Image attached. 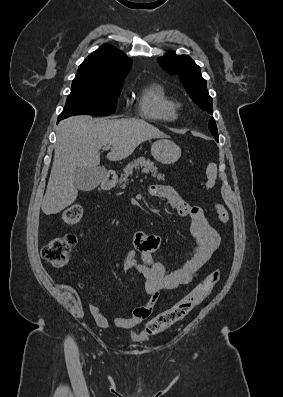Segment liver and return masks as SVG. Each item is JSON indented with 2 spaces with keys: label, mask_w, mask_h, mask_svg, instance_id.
Here are the masks:
<instances>
[{
  "label": "liver",
  "mask_w": 283,
  "mask_h": 397,
  "mask_svg": "<svg viewBox=\"0 0 283 397\" xmlns=\"http://www.w3.org/2000/svg\"><path fill=\"white\" fill-rule=\"evenodd\" d=\"M54 160L42 211L46 215L60 213L78 196L73 174L79 167L98 168L99 150L109 145L111 161L130 156L142 142L164 138L166 134L142 119H93L91 116L69 117L56 130Z\"/></svg>",
  "instance_id": "6515ba94"
}]
</instances>
